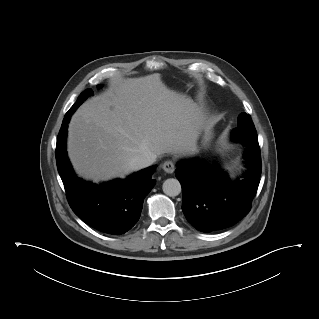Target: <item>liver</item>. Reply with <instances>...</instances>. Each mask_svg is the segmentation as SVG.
I'll return each instance as SVG.
<instances>
[{
  "label": "liver",
  "mask_w": 319,
  "mask_h": 319,
  "mask_svg": "<svg viewBox=\"0 0 319 319\" xmlns=\"http://www.w3.org/2000/svg\"><path fill=\"white\" fill-rule=\"evenodd\" d=\"M206 123L197 105L167 88L160 74L119 79L82 104L68 128V155L79 176L93 182L124 178L138 156L196 150Z\"/></svg>",
  "instance_id": "1"
}]
</instances>
